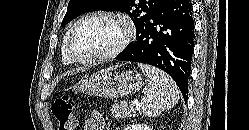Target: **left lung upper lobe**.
Here are the masks:
<instances>
[{"label": "left lung upper lobe", "mask_w": 249, "mask_h": 130, "mask_svg": "<svg viewBox=\"0 0 249 130\" xmlns=\"http://www.w3.org/2000/svg\"><path fill=\"white\" fill-rule=\"evenodd\" d=\"M163 0H70L62 26L88 11L117 10L132 19L136 32L143 22L156 10Z\"/></svg>", "instance_id": "obj_1"}]
</instances>
